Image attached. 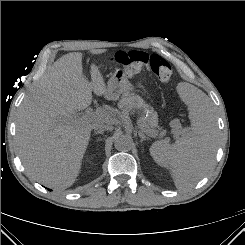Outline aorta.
I'll return each instance as SVG.
<instances>
[{"instance_id":"762f6f07","label":"aorta","mask_w":245,"mask_h":245,"mask_svg":"<svg viewBox=\"0 0 245 245\" xmlns=\"http://www.w3.org/2000/svg\"><path fill=\"white\" fill-rule=\"evenodd\" d=\"M132 138L129 135H119L114 142V146L119 151H129L132 147Z\"/></svg>"}]
</instances>
